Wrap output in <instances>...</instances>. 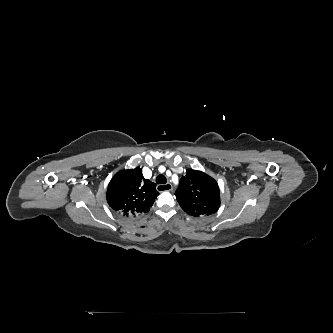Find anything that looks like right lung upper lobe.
Instances as JSON below:
<instances>
[{"label": "right lung upper lobe", "mask_w": 333, "mask_h": 333, "mask_svg": "<svg viewBox=\"0 0 333 333\" xmlns=\"http://www.w3.org/2000/svg\"><path fill=\"white\" fill-rule=\"evenodd\" d=\"M156 184L144 179L142 169L122 170L110 181L107 202L119 215L136 216L146 213L158 196Z\"/></svg>", "instance_id": "obj_1"}]
</instances>
